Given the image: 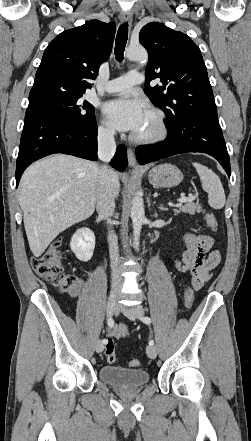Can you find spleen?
Returning a JSON list of instances; mask_svg holds the SVG:
<instances>
[{
	"mask_svg": "<svg viewBox=\"0 0 251 441\" xmlns=\"http://www.w3.org/2000/svg\"><path fill=\"white\" fill-rule=\"evenodd\" d=\"M195 167L204 191L208 193V203L213 209H221L224 207L226 199L224 189L219 177L208 167L194 162Z\"/></svg>",
	"mask_w": 251,
	"mask_h": 441,
	"instance_id": "obj_1",
	"label": "spleen"
}]
</instances>
